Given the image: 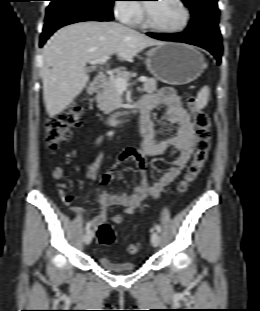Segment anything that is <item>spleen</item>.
Instances as JSON below:
<instances>
[{
	"instance_id": "obj_1",
	"label": "spleen",
	"mask_w": 260,
	"mask_h": 311,
	"mask_svg": "<svg viewBox=\"0 0 260 311\" xmlns=\"http://www.w3.org/2000/svg\"><path fill=\"white\" fill-rule=\"evenodd\" d=\"M209 96H210L209 87L208 86L202 87L197 94V99H196L197 109H203L204 107H206Z\"/></svg>"
}]
</instances>
